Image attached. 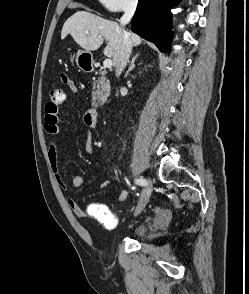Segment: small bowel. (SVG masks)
Wrapping results in <instances>:
<instances>
[{
  "label": "small bowel",
  "instance_id": "obj_1",
  "mask_svg": "<svg viewBox=\"0 0 249 294\" xmlns=\"http://www.w3.org/2000/svg\"><path fill=\"white\" fill-rule=\"evenodd\" d=\"M62 82L72 91H77L76 83L73 79L66 76L65 74H61ZM83 123L88 128V130H92L95 128L96 123L93 122L86 112L83 116ZM43 127L45 132L51 136V140L49 143V152L48 158L52 168L53 176L55 179L56 184L64 191H67L68 185L62 176L59 168V158H58V151H59V141L57 136L60 133V126H59V106H53L47 103L45 108V115H44V123ZM85 151L88 154H92L95 152V147L92 142L90 132L87 135L85 141ZM71 183L73 187L80 189L84 187V180L80 175H73L71 178ZM108 183H103L100 186V189H104L108 187ZM128 197V192L125 189H120L115 197L116 203H123L126 201ZM67 205L70 210L79 218H93L96 219L104 228L108 230L114 229L118 224V217L115 213L110 211V209L102 203L99 202H89L85 208L81 207L74 199L68 198ZM163 211L160 210L158 213V219L161 217Z\"/></svg>",
  "mask_w": 249,
  "mask_h": 294
}]
</instances>
